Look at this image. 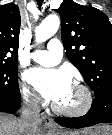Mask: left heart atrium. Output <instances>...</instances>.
Wrapping results in <instances>:
<instances>
[{
    "instance_id": "obj_1",
    "label": "left heart atrium",
    "mask_w": 112,
    "mask_h": 135,
    "mask_svg": "<svg viewBox=\"0 0 112 135\" xmlns=\"http://www.w3.org/2000/svg\"><path fill=\"white\" fill-rule=\"evenodd\" d=\"M26 78L43 97L54 102L61 100L71 88L70 75L64 70L33 68Z\"/></svg>"
}]
</instances>
